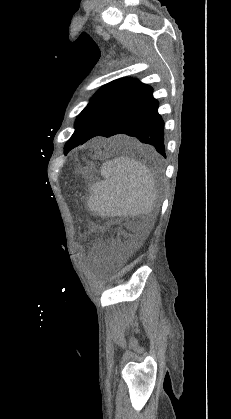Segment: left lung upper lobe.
I'll use <instances>...</instances> for the list:
<instances>
[{"label": "left lung upper lobe", "mask_w": 231, "mask_h": 419, "mask_svg": "<svg viewBox=\"0 0 231 419\" xmlns=\"http://www.w3.org/2000/svg\"><path fill=\"white\" fill-rule=\"evenodd\" d=\"M141 84L137 79L121 78L101 87L78 115L75 132L65 144V153L78 146L111 110L125 101Z\"/></svg>", "instance_id": "5c2ea615"}]
</instances>
